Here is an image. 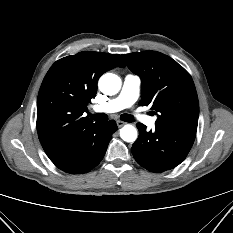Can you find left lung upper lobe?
Segmentation results:
<instances>
[{
    "label": "left lung upper lobe",
    "mask_w": 233,
    "mask_h": 233,
    "mask_svg": "<svg viewBox=\"0 0 233 233\" xmlns=\"http://www.w3.org/2000/svg\"><path fill=\"white\" fill-rule=\"evenodd\" d=\"M142 81L140 105L158 113L156 126L197 130L199 103L190 74L169 56L156 51L123 54Z\"/></svg>",
    "instance_id": "left-lung-upper-lobe-1"
}]
</instances>
